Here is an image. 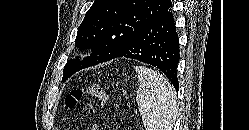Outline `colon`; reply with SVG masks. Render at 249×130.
I'll list each match as a JSON object with an SVG mask.
<instances>
[{"label": "colon", "instance_id": "obj_1", "mask_svg": "<svg viewBox=\"0 0 249 130\" xmlns=\"http://www.w3.org/2000/svg\"><path fill=\"white\" fill-rule=\"evenodd\" d=\"M83 99L89 101V114L96 115L103 109L107 95L99 84H85L72 89L66 95L64 106L66 109H73Z\"/></svg>", "mask_w": 249, "mask_h": 130}]
</instances>
